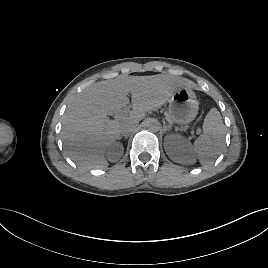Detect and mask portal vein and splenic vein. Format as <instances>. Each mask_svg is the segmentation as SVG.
<instances>
[{"instance_id":"18ae733b","label":"portal vein and splenic vein","mask_w":268,"mask_h":268,"mask_svg":"<svg viewBox=\"0 0 268 268\" xmlns=\"http://www.w3.org/2000/svg\"><path fill=\"white\" fill-rule=\"evenodd\" d=\"M126 114V111H120L117 115H116V117L117 118H121L122 116H124Z\"/></svg>"}]
</instances>
